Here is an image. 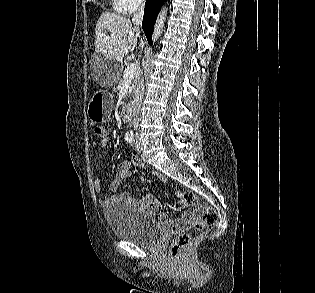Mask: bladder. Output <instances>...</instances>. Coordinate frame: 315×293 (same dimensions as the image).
<instances>
[{
    "label": "bladder",
    "instance_id": "1",
    "mask_svg": "<svg viewBox=\"0 0 315 293\" xmlns=\"http://www.w3.org/2000/svg\"><path fill=\"white\" fill-rule=\"evenodd\" d=\"M103 213L111 232L118 239L140 247H151L162 236L163 231L152 216L128 203H111Z\"/></svg>",
    "mask_w": 315,
    "mask_h": 293
}]
</instances>
